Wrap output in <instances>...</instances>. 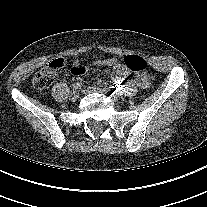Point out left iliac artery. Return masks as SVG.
Instances as JSON below:
<instances>
[{
	"mask_svg": "<svg viewBox=\"0 0 207 207\" xmlns=\"http://www.w3.org/2000/svg\"><path fill=\"white\" fill-rule=\"evenodd\" d=\"M108 90H111V87H108ZM112 92H114L113 93V96H120V95H122V91L121 90H115V89H112Z\"/></svg>",
	"mask_w": 207,
	"mask_h": 207,
	"instance_id": "left-iliac-artery-1",
	"label": "left iliac artery"
}]
</instances>
